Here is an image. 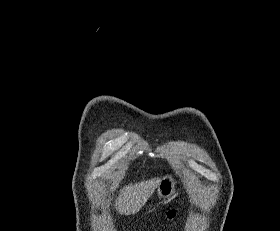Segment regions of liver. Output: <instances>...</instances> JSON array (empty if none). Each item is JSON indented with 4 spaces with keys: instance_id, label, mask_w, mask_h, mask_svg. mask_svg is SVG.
I'll return each mask as SVG.
<instances>
[{
    "instance_id": "obj_1",
    "label": "liver",
    "mask_w": 280,
    "mask_h": 231,
    "mask_svg": "<svg viewBox=\"0 0 280 231\" xmlns=\"http://www.w3.org/2000/svg\"><path fill=\"white\" fill-rule=\"evenodd\" d=\"M160 179H147L140 183H129L123 189H120L119 197L116 199V209L118 213H136L143 205H145L148 197L152 195L157 187Z\"/></svg>"
}]
</instances>
